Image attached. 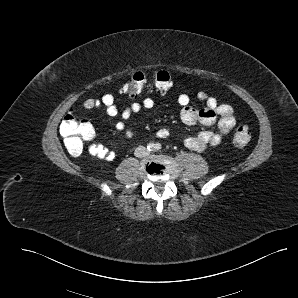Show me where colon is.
Instances as JSON below:
<instances>
[{
	"mask_svg": "<svg viewBox=\"0 0 298 298\" xmlns=\"http://www.w3.org/2000/svg\"><path fill=\"white\" fill-rule=\"evenodd\" d=\"M146 83L145 74L136 72L122 86L121 93L136 97L143 92ZM154 84L158 91L166 93L172 88L173 81L167 71L161 70L155 74ZM60 133L66 150L73 156H80L85 143L91 141L95 134L92 125L80 118L73 110H70L62 119ZM250 139L251 133L247 126L240 125L235 129L233 143L236 147L243 148L247 146Z\"/></svg>",
	"mask_w": 298,
	"mask_h": 298,
	"instance_id": "1",
	"label": "colon"
}]
</instances>
